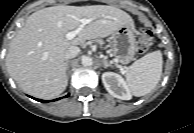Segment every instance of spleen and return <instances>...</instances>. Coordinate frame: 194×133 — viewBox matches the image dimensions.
I'll return each mask as SVG.
<instances>
[{
    "label": "spleen",
    "instance_id": "3e777b00",
    "mask_svg": "<svg viewBox=\"0 0 194 133\" xmlns=\"http://www.w3.org/2000/svg\"><path fill=\"white\" fill-rule=\"evenodd\" d=\"M163 58L160 51L146 54L125 69L128 88L134 96L150 93L162 75Z\"/></svg>",
    "mask_w": 194,
    "mask_h": 133
}]
</instances>
